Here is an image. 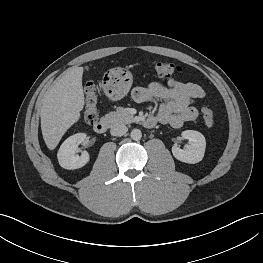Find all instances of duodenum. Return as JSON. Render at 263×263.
Wrapping results in <instances>:
<instances>
[{"label":"duodenum","instance_id":"1","mask_svg":"<svg viewBox=\"0 0 263 263\" xmlns=\"http://www.w3.org/2000/svg\"><path fill=\"white\" fill-rule=\"evenodd\" d=\"M155 123H156L155 119L151 116H148L143 120V125L147 128L153 127ZM109 125H110L109 119H102L95 123L94 130L98 134H103L107 132Z\"/></svg>","mask_w":263,"mask_h":263}]
</instances>
